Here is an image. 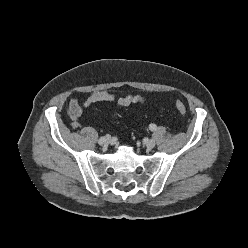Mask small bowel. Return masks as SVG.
Returning <instances> with one entry per match:
<instances>
[{
  "instance_id": "small-bowel-1",
  "label": "small bowel",
  "mask_w": 248,
  "mask_h": 248,
  "mask_svg": "<svg viewBox=\"0 0 248 248\" xmlns=\"http://www.w3.org/2000/svg\"><path fill=\"white\" fill-rule=\"evenodd\" d=\"M145 101V98L139 94L117 96L109 91L99 90L91 92L81 104L76 99H70L68 103V113L72 120L73 127H77L78 121L83 113V107H90L96 102L111 103L115 108L121 109L132 104H143Z\"/></svg>"
}]
</instances>
